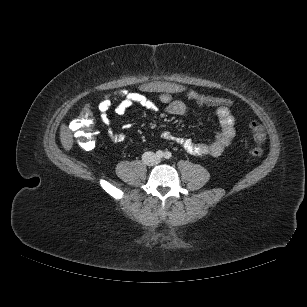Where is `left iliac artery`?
<instances>
[{"mask_svg":"<svg viewBox=\"0 0 307 307\" xmlns=\"http://www.w3.org/2000/svg\"><path fill=\"white\" fill-rule=\"evenodd\" d=\"M171 157H172L171 152L166 151V152L164 153V158H165V159H170Z\"/></svg>","mask_w":307,"mask_h":307,"instance_id":"obj_1","label":"left iliac artery"}]
</instances>
